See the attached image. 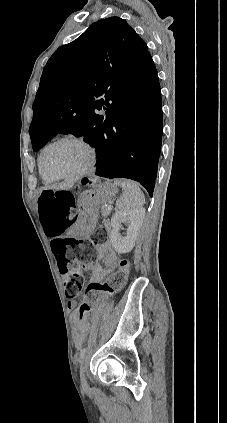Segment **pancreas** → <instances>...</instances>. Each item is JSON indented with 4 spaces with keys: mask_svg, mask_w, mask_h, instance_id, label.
<instances>
[{
    "mask_svg": "<svg viewBox=\"0 0 227 423\" xmlns=\"http://www.w3.org/2000/svg\"><path fill=\"white\" fill-rule=\"evenodd\" d=\"M107 208H108V206H102V208H101L102 215H109L110 210H107Z\"/></svg>",
    "mask_w": 227,
    "mask_h": 423,
    "instance_id": "1",
    "label": "pancreas"
}]
</instances>
